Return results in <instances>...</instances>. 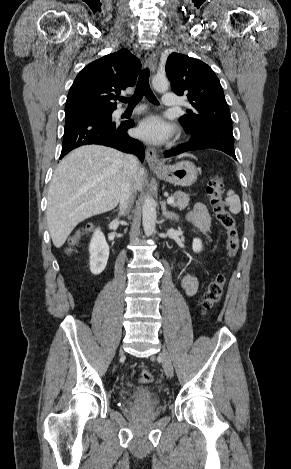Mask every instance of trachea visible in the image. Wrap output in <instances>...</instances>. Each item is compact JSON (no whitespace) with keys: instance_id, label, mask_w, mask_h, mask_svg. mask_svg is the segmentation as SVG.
Segmentation results:
<instances>
[{"instance_id":"3493384b","label":"trachea","mask_w":291,"mask_h":469,"mask_svg":"<svg viewBox=\"0 0 291 469\" xmlns=\"http://www.w3.org/2000/svg\"><path fill=\"white\" fill-rule=\"evenodd\" d=\"M150 70L144 68L138 78L136 90L130 98L121 97L119 100L128 103L129 107H135L145 96L151 103L159 104L149 85Z\"/></svg>"}]
</instances>
